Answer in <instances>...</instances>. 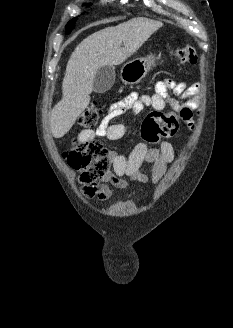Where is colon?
<instances>
[{
    "label": "colon",
    "mask_w": 233,
    "mask_h": 328,
    "mask_svg": "<svg viewBox=\"0 0 233 328\" xmlns=\"http://www.w3.org/2000/svg\"><path fill=\"white\" fill-rule=\"evenodd\" d=\"M174 57L183 65L194 64L197 53L190 45L173 51ZM101 109L95 103L90 104L78 118V123L86 130L94 128L99 120ZM180 118L175 113L152 111L144 119L141 127L142 139L148 144H157L163 138L176 135ZM67 164L80 172L79 181L88 190H95L108 174L110 158L99 141H77L63 153Z\"/></svg>",
    "instance_id": "obj_1"
}]
</instances>
